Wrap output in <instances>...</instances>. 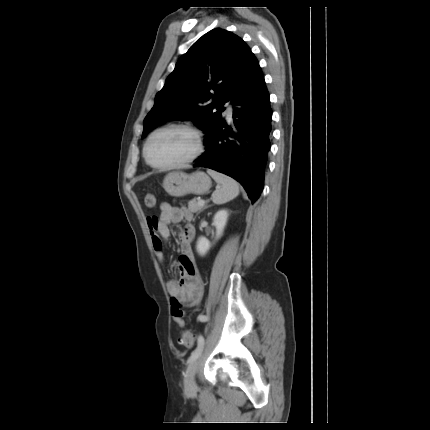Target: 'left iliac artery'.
Returning <instances> with one entry per match:
<instances>
[{"mask_svg": "<svg viewBox=\"0 0 430 430\" xmlns=\"http://www.w3.org/2000/svg\"><path fill=\"white\" fill-rule=\"evenodd\" d=\"M200 320L201 321H206L207 317L206 316H202V317H200ZM203 345H204V337L203 336H199V338H198V345L192 351V353H191V355H190V357L188 359V363H191L192 361H194L199 356V354L202 351Z\"/></svg>", "mask_w": 430, "mask_h": 430, "instance_id": "1", "label": "left iliac artery"}]
</instances>
